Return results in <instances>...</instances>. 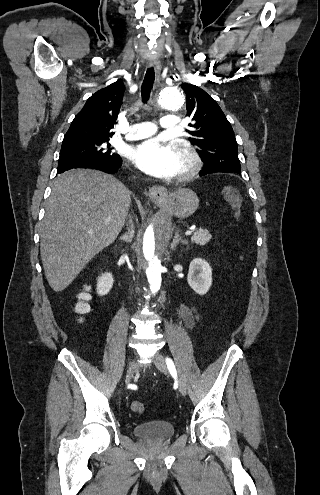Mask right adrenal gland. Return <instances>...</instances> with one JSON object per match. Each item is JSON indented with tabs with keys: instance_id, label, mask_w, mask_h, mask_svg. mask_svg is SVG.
<instances>
[{
	"instance_id": "2a0ac1e0",
	"label": "right adrenal gland",
	"mask_w": 320,
	"mask_h": 495,
	"mask_svg": "<svg viewBox=\"0 0 320 495\" xmlns=\"http://www.w3.org/2000/svg\"><path fill=\"white\" fill-rule=\"evenodd\" d=\"M129 225H130V227L128 229V233L124 234L123 236L120 237V240H122L126 243L131 242V240L134 237V225H133L131 217H129Z\"/></svg>"
}]
</instances>
